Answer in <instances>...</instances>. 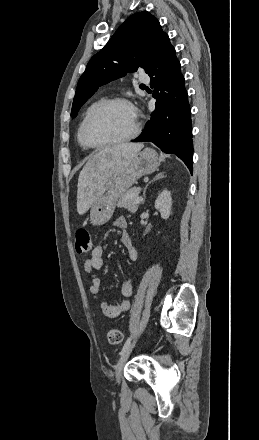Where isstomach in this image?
<instances>
[{"mask_svg":"<svg viewBox=\"0 0 259 440\" xmlns=\"http://www.w3.org/2000/svg\"><path fill=\"white\" fill-rule=\"evenodd\" d=\"M159 157L155 150L145 148L112 181L105 194L91 206L90 221L94 226L107 223L113 216L116 202L142 176L156 171Z\"/></svg>","mask_w":259,"mask_h":440,"instance_id":"stomach-1","label":"stomach"}]
</instances>
